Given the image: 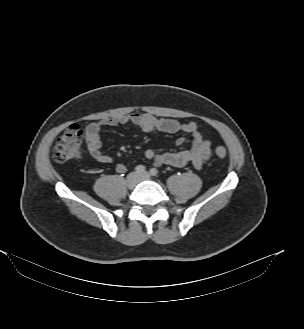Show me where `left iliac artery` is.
Masks as SVG:
<instances>
[{
  "instance_id": "44dca946",
  "label": "left iliac artery",
  "mask_w": 304,
  "mask_h": 329,
  "mask_svg": "<svg viewBox=\"0 0 304 329\" xmlns=\"http://www.w3.org/2000/svg\"><path fill=\"white\" fill-rule=\"evenodd\" d=\"M150 174H151L152 176H157V175H158V170H157L156 168H152V169L150 170Z\"/></svg>"
}]
</instances>
